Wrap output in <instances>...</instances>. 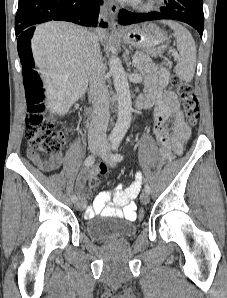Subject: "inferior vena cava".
<instances>
[{
  "instance_id": "inferior-vena-cava-1",
  "label": "inferior vena cava",
  "mask_w": 227,
  "mask_h": 298,
  "mask_svg": "<svg viewBox=\"0 0 227 298\" xmlns=\"http://www.w3.org/2000/svg\"><path fill=\"white\" fill-rule=\"evenodd\" d=\"M85 71L89 79L93 112L88 138L103 142L109 122V94L105 83V68L98 37L89 34L85 44Z\"/></svg>"
}]
</instances>
